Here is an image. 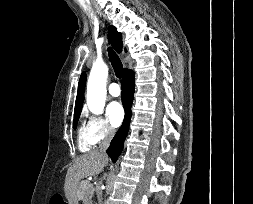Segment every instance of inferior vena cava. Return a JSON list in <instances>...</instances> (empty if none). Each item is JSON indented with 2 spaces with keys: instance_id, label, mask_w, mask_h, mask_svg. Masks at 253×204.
I'll return each instance as SVG.
<instances>
[{
  "instance_id": "602c4592",
  "label": "inferior vena cava",
  "mask_w": 253,
  "mask_h": 204,
  "mask_svg": "<svg viewBox=\"0 0 253 204\" xmlns=\"http://www.w3.org/2000/svg\"><path fill=\"white\" fill-rule=\"evenodd\" d=\"M114 136V131L111 128H108L106 130L105 138L102 140V142L99 145V151L103 154H106V150L110 145V142ZM102 196L99 195L98 200L101 202Z\"/></svg>"
}]
</instances>
